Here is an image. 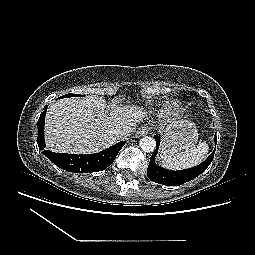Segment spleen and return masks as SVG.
Returning a JSON list of instances; mask_svg holds the SVG:
<instances>
[{"instance_id":"obj_1","label":"spleen","mask_w":255,"mask_h":255,"mask_svg":"<svg viewBox=\"0 0 255 255\" xmlns=\"http://www.w3.org/2000/svg\"><path fill=\"white\" fill-rule=\"evenodd\" d=\"M208 144L202 142L196 147L186 149L185 152L176 154L161 155L162 165L168 169L190 168L201 163L207 155Z\"/></svg>"}]
</instances>
